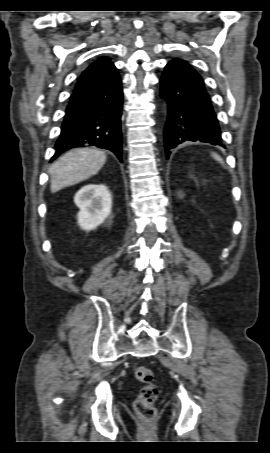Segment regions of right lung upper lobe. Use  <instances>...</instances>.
<instances>
[{
  "mask_svg": "<svg viewBox=\"0 0 270 453\" xmlns=\"http://www.w3.org/2000/svg\"><path fill=\"white\" fill-rule=\"evenodd\" d=\"M114 64L107 57H101L92 63L80 76L75 87L93 82L103 77L111 68H114Z\"/></svg>",
  "mask_w": 270,
  "mask_h": 453,
  "instance_id": "obj_1",
  "label": "right lung upper lobe"
}]
</instances>
